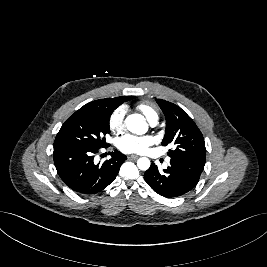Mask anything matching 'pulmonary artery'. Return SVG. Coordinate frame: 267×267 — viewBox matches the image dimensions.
<instances>
[{"label":"pulmonary artery","instance_id":"e3ab8cb5","mask_svg":"<svg viewBox=\"0 0 267 267\" xmlns=\"http://www.w3.org/2000/svg\"><path fill=\"white\" fill-rule=\"evenodd\" d=\"M157 124V121H153V122H151V125L152 126H155ZM169 161V159H167V162Z\"/></svg>","mask_w":267,"mask_h":267}]
</instances>
